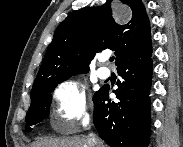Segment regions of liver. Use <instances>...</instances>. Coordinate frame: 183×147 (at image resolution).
<instances>
[{"instance_id": "liver-1", "label": "liver", "mask_w": 183, "mask_h": 147, "mask_svg": "<svg viewBox=\"0 0 183 147\" xmlns=\"http://www.w3.org/2000/svg\"><path fill=\"white\" fill-rule=\"evenodd\" d=\"M30 147H89L87 139L80 137L45 138L31 144Z\"/></svg>"}]
</instances>
